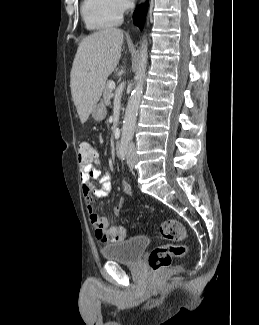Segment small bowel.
<instances>
[{"label":"small bowel","mask_w":259,"mask_h":325,"mask_svg":"<svg viewBox=\"0 0 259 325\" xmlns=\"http://www.w3.org/2000/svg\"><path fill=\"white\" fill-rule=\"evenodd\" d=\"M101 167L102 161L96 151L91 161L80 162L82 193L96 238L103 243H118L126 239V230L123 227L109 226L108 220L101 217L94 207V198L104 199L111 191V176L108 172H102ZM94 180L99 181V187L94 186ZM121 187L124 194H131V187L126 181L122 182Z\"/></svg>","instance_id":"obj_1"}]
</instances>
